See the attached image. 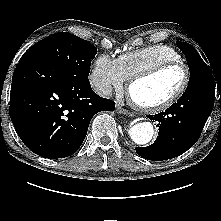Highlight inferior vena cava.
I'll list each match as a JSON object with an SVG mask.
<instances>
[{
    "instance_id": "inferior-vena-cava-1",
    "label": "inferior vena cava",
    "mask_w": 221,
    "mask_h": 221,
    "mask_svg": "<svg viewBox=\"0 0 221 221\" xmlns=\"http://www.w3.org/2000/svg\"><path fill=\"white\" fill-rule=\"evenodd\" d=\"M98 94L104 97H110L112 95V87L108 84H103L98 88Z\"/></svg>"
}]
</instances>
